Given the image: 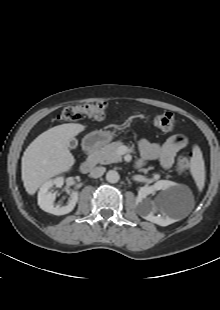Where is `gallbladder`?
<instances>
[{"label": "gallbladder", "mask_w": 220, "mask_h": 310, "mask_svg": "<svg viewBox=\"0 0 220 310\" xmlns=\"http://www.w3.org/2000/svg\"><path fill=\"white\" fill-rule=\"evenodd\" d=\"M77 145H78V141L76 138H71L69 140V148L70 149H75L77 147Z\"/></svg>", "instance_id": "gallbladder-1"}]
</instances>
